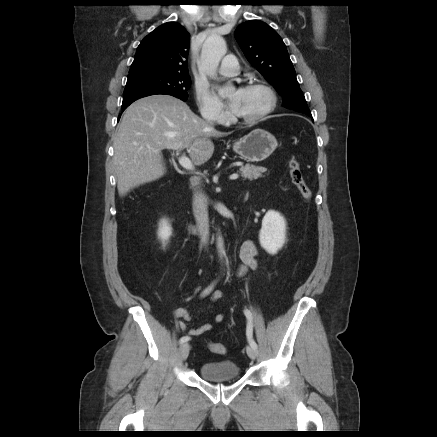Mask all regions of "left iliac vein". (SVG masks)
<instances>
[{
  "label": "left iliac vein",
  "mask_w": 437,
  "mask_h": 437,
  "mask_svg": "<svg viewBox=\"0 0 437 437\" xmlns=\"http://www.w3.org/2000/svg\"><path fill=\"white\" fill-rule=\"evenodd\" d=\"M247 354L251 359H255L258 355V352H257V349H255L251 346H248L247 347Z\"/></svg>",
  "instance_id": "4c4485c4"
}]
</instances>
